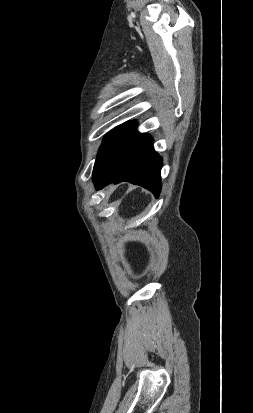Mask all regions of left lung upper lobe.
Returning <instances> with one entry per match:
<instances>
[{
    "instance_id": "obj_1",
    "label": "left lung upper lobe",
    "mask_w": 253,
    "mask_h": 413,
    "mask_svg": "<svg viewBox=\"0 0 253 413\" xmlns=\"http://www.w3.org/2000/svg\"><path fill=\"white\" fill-rule=\"evenodd\" d=\"M136 126V122L124 123L114 128L105 136L95 161L93 175H95L102 168V166L114 154L120 145L136 129Z\"/></svg>"
}]
</instances>
